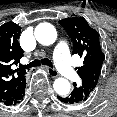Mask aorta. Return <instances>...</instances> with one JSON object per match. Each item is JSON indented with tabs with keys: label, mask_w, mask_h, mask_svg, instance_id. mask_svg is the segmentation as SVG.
Returning a JSON list of instances; mask_svg holds the SVG:
<instances>
[{
	"label": "aorta",
	"mask_w": 117,
	"mask_h": 117,
	"mask_svg": "<svg viewBox=\"0 0 117 117\" xmlns=\"http://www.w3.org/2000/svg\"><path fill=\"white\" fill-rule=\"evenodd\" d=\"M35 38L42 45H51L57 39V31L55 27L50 23H41L35 28ZM53 87L55 92L59 96H66L69 94L71 85L70 82L65 78H57Z\"/></svg>",
	"instance_id": "1"
}]
</instances>
